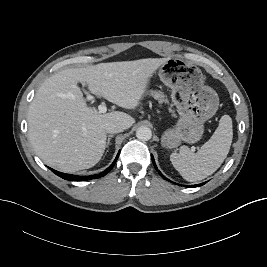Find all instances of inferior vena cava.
<instances>
[{"label": "inferior vena cava", "mask_w": 267, "mask_h": 267, "mask_svg": "<svg viewBox=\"0 0 267 267\" xmlns=\"http://www.w3.org/2000/svg\"><path fill=\"white\" fill-rule=\"evenodd\" d=\"M126 125L124 123H121L119 121H110L106 123L105 125V132L106 133H119L122 132L124 129H126Z\"/></svg>", "instance_id": "obj_1"}]
</instances>
